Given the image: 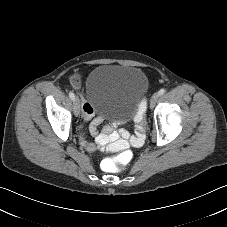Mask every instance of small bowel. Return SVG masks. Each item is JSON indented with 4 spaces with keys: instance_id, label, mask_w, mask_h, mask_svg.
<instances>
[{
    "instance_id": "small-bowel-1",
    "label": "small bowel",
    "mask_w": 227,
    "mask_h": 227,
    "mask_svg": "<svg viewBox=\"0 0 227 227\" xmlns=\"http://www.w3.org/2000/svg\"><path fill=\"white\" fill-rule=\"evenodd\" d=\"M83 118L89 124L90 134L94 140H89L85 136L80 137L82 146L88 152H94L98 148L107 146L113 150H126L129 147H140L146 136V131L143 128H138L134 136H130L129 132L124 129H115V125L104 124L102 132L98 133L97 128L102 123V117H94L95 109L82 97Z\"/></svg>"
}]
</instances>
